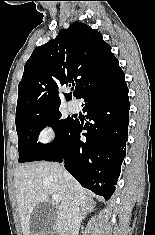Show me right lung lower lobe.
Wrapping results in <instances>:
<instances>
[{"label": "right lung lower lobe", "instance_id": "right-lung-lower-lobe-1", "mask_svg": "<svg viewBox=\"0 0 155 235\" xmlns=\"http://www.w3.org/2000/svg\"><path fill=\"white\" fill-rule=\"evenodd\" d=\"M83 112L89 121L75 120L63 145L46 161H66L79 183L108 200L118 180L128 139V88L122 69L87 87ZM86 130V133H82ZM81 135L86 141L81 140Z\"/></svg>", "mask_w": 155, "mask_h": 235}]
</instances>
